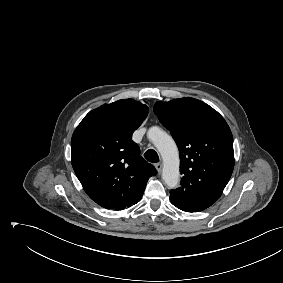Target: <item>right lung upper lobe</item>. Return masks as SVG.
<instances>
[{
  "label": "right lung upper lobe",
  "instance_id": "right-lung-upper-lobe-1",
  "mask_svg": "<svg viewBox=\"0 0 283 283\" xmlns=\"http://www.w3.org/2000/svg\"><path fill=\"white\" fill-rule=\"evenodd\" d=\"M148 111L133 99L118 100L89 112L73 133V169L88 196L103 208L136 204L148 179L157 174L132 141Z\"/></svg>",
  "mask_w": 283,
  "mask_h": 283
}]
</instances>
